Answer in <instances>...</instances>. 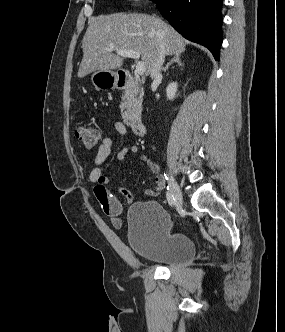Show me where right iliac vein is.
<instances>
[{
    "mask_svg": "<svg viewBox=\"0 0 285 332\" xmlns=\"http://www.w3.org/2000/svg\"><path fill=\"white\" fill-rule=\"evenodd\" d=\"M169 187H170V192L172 193L174 199H175V204L178 207H181L183 204V198H182V193L179 188L178 183L176 182L175 178L169 174Z\"/></svg>",
    "mask_w": 285,
    "mask_h": 332,
    "instance_id": "obj_1",
    "label": "right iliac vein"
}]
</instances>
